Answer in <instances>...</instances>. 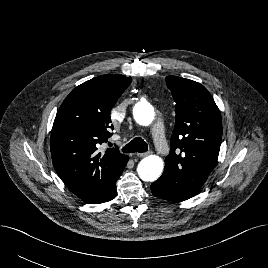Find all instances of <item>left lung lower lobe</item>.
<instances>
[{"label": "left lung lower lobe", "mask_w": 268, "mask_h": 268, "mask_svg": "<svg viewBox=\"0 0 268 268\" xmlns=\"http://www.w3.org/2000/svg\"><path fill=\"white\" fill-rule=\"evenodd\" d=\"M151 191L154 196L159 197L164 200H168V201L178 202V201L187 200L193 197L186 193L172 189L171 187L161 184L157 181L152 183Z\"/></svg>", "instance_id": "left-lung-lower-lobe-1"}]
</instances>
